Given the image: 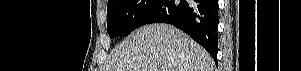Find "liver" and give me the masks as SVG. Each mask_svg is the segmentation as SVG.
I'll return each mask as SVG.
<instances>
[{
	"label": "liver",
	"instance_id": "6515ba94",
	"mask_svg": "<svg viewBox=\"0 0 301 71\" xmlns=\"http://www.w3.org/2000/svg\"><path fill=\"white\" fill-rule=\"evenodd\" d=\"M208 52L167 24H149L132 32L112 52L102 71H213Z\"/></svg>",
	"mask_w": 301,
	"mask_h": 71
}]
</instances>
